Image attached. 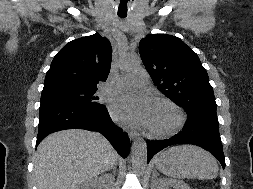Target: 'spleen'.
<instances>
[{
	"label": "spleen",
	"instance_id": "spleen-1",
	"mask_svg": "<svg viewBox=\"0 0 253 189\" xmlns=\"http://www.w3.org/2000/svg\"><path fill=\"white\" fill-rule=\"evenodd\" d=\"M156 166L163 174L177 179H214L219 170L212 154L193 145L168 148L157 157Z\"/></svg>",
	"mask_w": 253,
	"mask_h": 189
}]
</instances>
